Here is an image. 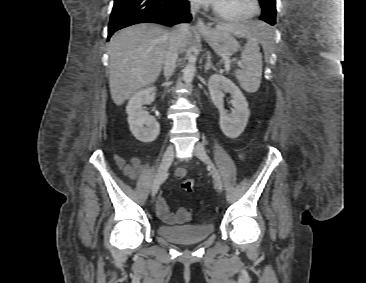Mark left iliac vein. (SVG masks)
I'll return each mask as SVG.
<instances>
[{
    "label": "left iliac vein",
    "mask_w": 366,
    "mask_h": 283,
    "mask_svg": "<svg viewBox=\"0 0 366 283\" xmlns=\"http://www.w3.org/2000/svg\"><path fill=\"white\" fill-rule=\"evenodd\" d=\"M194 154L196 155L197 158H199L201 161H203L204 163H206L209 166L216 187L218 188V190L222 191L223 183H222L220 173L218 172V170H217L216 166L214 165V163L212 162V160L209 158L202 143L197 142L195 144Z\"/></svg>",
    "instance_id": "4c4485c4"
}]
</instances>
